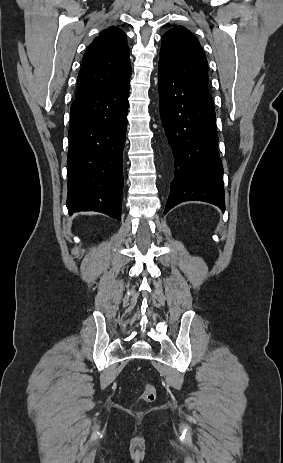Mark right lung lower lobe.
<instances>
[{"mask_svg":"<svg viewBox=\"0 0 283 463\" xmlns=\"http://www.w3.org/2000/svg\"><path fill=\"white\" fill-rule=\"evenodd\" d=\"M129 86L130 78L77 97L71 105L67 159L70 214L97 211L121 219Z\"/></svg>","mask_w":283,"mask_h":463,"instance_id":"98d812e1","label":"right lung lower lobe"}]
</instances>
